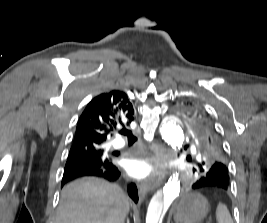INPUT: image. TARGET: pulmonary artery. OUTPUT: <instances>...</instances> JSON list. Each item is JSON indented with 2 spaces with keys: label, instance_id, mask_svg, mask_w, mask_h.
<instances>
[{
  "label": "pulmonary artery",
  "instance_id": "obj_1",
  "mask_svg": "<svg viewBox=\"0 0 267 223\" xmlns=\"http://www.w3.org/2000/svg\"><path fill=\"white\" fill-rule=\"evenodd\" d=\"M124 145H125V143H124L123 140H117V141H115V142L113 143V146H114L115 148H122V147H124Z\"/></svg>",
  "mask_w": 267,
  "mask_h": 223
}]
</instances>
